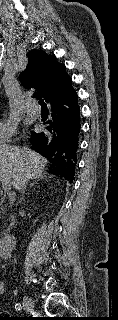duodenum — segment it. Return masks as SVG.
Here are the masks:
<instances>
[{
	"label": "duodenum",
	"mask_w": 118,
	"mask_h": 320,
	"mask_svg": "<svg viewBox=\"0 0 118 320\" xmlns=\"http://www.w3.org/2000/svg\"><path fill=\"white\" fill-rule=\"evenodd\" d=\"M16 237L12 234H7L2 240L0 241V257L1 258H8L10 253L15 246Z\"/></svg>",
	"instance_id": "410a0bca"
}]
</instances>
